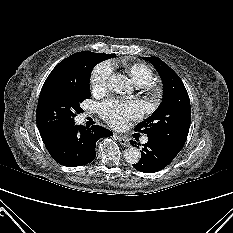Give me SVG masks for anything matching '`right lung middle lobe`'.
<instances>
[{
	"instance_id": "dd1d6c3e",
	"label": "right lung middle lobe",
	"mask_w": 233,
	"mask_h": 233,
	"mask_svg": "<svg viewBox=\"0 0 233 233\" xmlns=\"http://www.w3.org/2000/svg\"><path fill=\"white\" fill-rule=\"evenodd\" d=\"M73 64L55 67L47 77L38 100L36 122L42 138L67 132L80 104L90 98V74L94 66L115 54L81 51Z\"/></svg>"
}]
</instances>
